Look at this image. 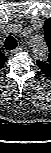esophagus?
Wrapping results in <instances>:
<instances>
[{
  "label": "esophagus",
  "mask_w": 51,
  "mask_h": 153,
  "mask_svg": "<svg viewBox=\"0 0 51 153\" xmlns=\"http://www.w3.org/2000/svg\"><path fill=\"white\" fill-rule=\"evenodd\" d=\"M23 49L21 47H17L16 49H14L12 51V53H18V52H21Z\"/></svg>",
  "instance_id": "obj_1"
}]
</instances>
